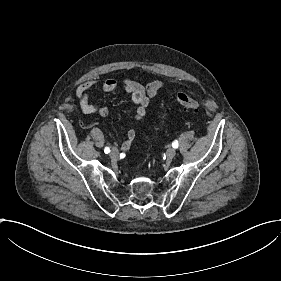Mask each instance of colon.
<instances>
[{
  "label": "colon",
  "instance_id": "colon-1",
  "mask_svg": "<svg viewBox=\"0 0 281 281\" xmlns=\"http://www.w3.org/2000/svg\"><path fill=\"white\" fill-rule=\"evenodd\" d=\"M177 103L182 109L187 111L198 112L201 108L199 100L187 93H179L177 95Z\"/></svg>",
  "mask_w": 281,
  "mask_h": 281
}]
</instances>
